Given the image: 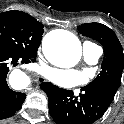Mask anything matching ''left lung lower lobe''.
Instances as JSON below:
<instances>
[{
  "instance_id": "left-lung-lower-lobe-1",
  "label": "left lung lower lobe",
  "mask_w": 124,
  "mask_h": 124,
  "mask_svg": "<svg viewBox=\"0 0 124 124\" xmlns=\"http://www.w3.org/2000/svg\"><path fill=\"white\" fill-rule=\"evenodd\" d=\"M49 99V113L57 124H93L105 113L112 102L106 93L83 87L77 98L73 91L50 82L40 84Z\"/></svg>"
}]
</instances>
